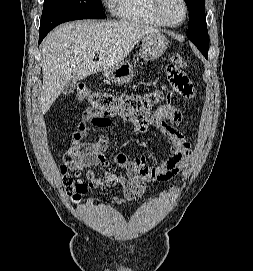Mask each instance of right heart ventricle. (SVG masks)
<instances>
[{"mask_svg": "<svg viewBox=\"0 0 253 271\" xmlns=\"http://www.w3.org/2000/svg\"><path fill=\"white\" fill-rule=\"evenodd\" d=\"M114 12L122 20L162 28L164 25L152 10V0H113Z\"/></svg>", "mask_w": 253, "mask_h": 271, "instance_id": "right-heart-ventricle-1", "label": "right heart ventricle"}]
</instances>
